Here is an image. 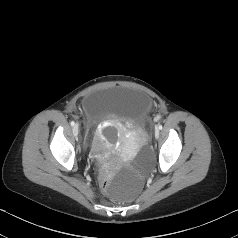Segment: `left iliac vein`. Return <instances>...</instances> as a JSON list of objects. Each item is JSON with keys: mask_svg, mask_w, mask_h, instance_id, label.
Instances as JSON below:
<instances>
[{"mask_svg": "<svg viewBox=\"0 0 238 238\" xmlns=\"http://www.w3.org/2000/svg\"><path fill=\"white\" fill-rule=\"evenodd\" d=\"M160 135V131L158 128L155 129V137L158 138Z\"/></svg>", "mask_w": 238, "mask_h": 238, "instance_id": "obj_1", "label": "left iliac vein"}]
</instances>
